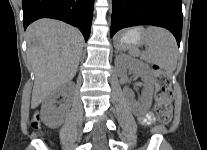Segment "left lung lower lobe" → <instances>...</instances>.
I'll list each match as a JSON object with an SVG mask.
<instances>
[{
	"mask_svg": "<svg viewBox=\"0 0 207 150\" xmlns=\"http://www.w3.org/2000/svg\"><path fill=\"white\" fill-rule=\"evenodd\" d=\"M182 22V0H113L110 36L125 27L154 25L170 30L179 46Z\"/></svg>",
	"mask_w": 207,
	"mask_h": 150,
	"instance_id": "0a47b994",
	"label": "left lung lower lobe"
}]
</instances>
